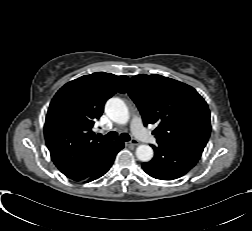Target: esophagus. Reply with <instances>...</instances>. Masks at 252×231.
I'll list each match as a JSON object with an SVG mask.
<instances>
[{
	"label": "esophagus",
	"instance_id": "1",
	"mask_svg": "<svg viewBox=\"0 0 252 231\" xmlns=\"http://www.w3.org/2000/svg\"><path fill=\"white\" fill-rule=\"evenodd\" d=\"M126 145L135 146L138 145V141L136 139H132L130 142H127Z\"/></svg>",
	"mask_w": 252,
	"mask_h": 231
}]
</instances>
